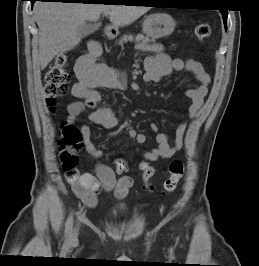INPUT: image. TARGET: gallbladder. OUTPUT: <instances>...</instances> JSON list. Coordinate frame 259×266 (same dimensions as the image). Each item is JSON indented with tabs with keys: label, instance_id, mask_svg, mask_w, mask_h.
I'll return each mask as SVG.
<instances>
[{
	"label": "gallbladder",
	"instance_id": "1",
	"mask_svg": "<svg viewBox=\"0 0 259 266\" xmlns=\"http://www.w3.org/2000/svg\"><path fill=\"white\" fill-rule=\"evenodd\" d=\"M97 27L98 26L94 23L86 22L79 28L78 32L82 36H87L93 33L97 29Z\"/></svg>",
	"mask_w": 259,
	"mask_h": 266
}]
</instances>
